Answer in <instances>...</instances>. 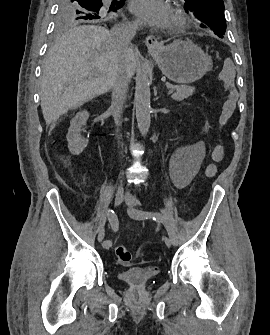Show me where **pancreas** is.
I'll return each instance as SVG.
<instances>
[{
    "label": "pancreas",
    "instance_id": "cf45deb5",
    "mask_svg": "<svg viewBox=\"0 0 270 335\" xmlns=\"http://www.w3.org/2000/svg\"><path fill=\"white\" fill-rule=\"evenodd\" d=\"M172 87H175V93L172 94L171 98H173V100H177V102H182L185 98H189L195 90L192 86H169V88Z\"/></svg>",
    "mask_w": 270,
    "mask_h": 335
}]
</instances>
